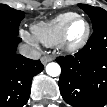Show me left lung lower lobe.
I'll use <instances>...</instances> for the list:
<instances>
[{
  "label": "left lung lower lobe",
  "instance_id": "left-lung-lower-lobe-1",
  "mask_svg": "<svg viewBox=\"0 0 107 107\" xmlns=\"http://www.w3.org/2000/svg\"><path fill=\"white\" fill-rule=\"evenodd\" d=\"M59 88L73 107H102L107 104V24L94 30L78 53L58 57Z\"/></svg>",
  "mask_w": 107,
  "mask_h": 107
}]
</instances>
